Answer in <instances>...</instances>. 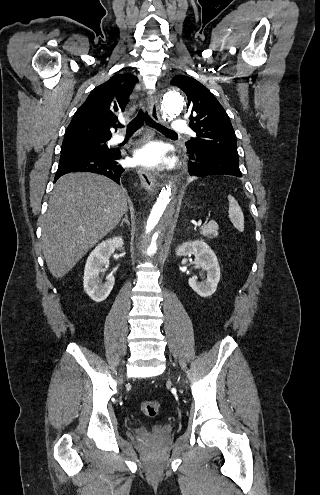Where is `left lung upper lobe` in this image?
Instances as JSON below:
<instances>
[{
  "label": "left lung upper lobe",
  "mask_w": 320,
  "mask_h": 495,
  "mask_svg": "<svg viewBox=\"0 0 320 495\" xmlns=\"http://www.w3.org/2000/svg\"><path fill=\"white\" fill-rule=\"evenodd\" d=\"M171 85L179 87L187 95L189 126L197 136L186 143L187 151H201L220 161L239 165L234 129L215 96L189 76L178 75L172 79Z\"/></svg>",
  "instance_id": "left-lung-upper-lobe-1"
}]
</instances>
